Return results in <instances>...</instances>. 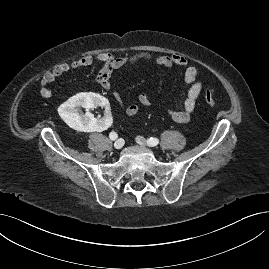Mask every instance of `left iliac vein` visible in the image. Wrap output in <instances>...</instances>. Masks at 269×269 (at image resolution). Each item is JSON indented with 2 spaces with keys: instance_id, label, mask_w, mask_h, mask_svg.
<instances>
[{
  "instance_id": "left-iliac-vein-1",
  "label": "left iliac vein",
  "mask_w": 269,
  "mask_h": 269,
  "mask_svg": "<svg viewBox=\"0 0 269 269\" xmlns=\"http://www.w3.org/2000/svg\"><path fill=\"white\" fill-rule=\"evenodd\" d=\"M136 142L141 146H146V140L141 136L136 137Z\"/></svg>"
}]
</instances>
